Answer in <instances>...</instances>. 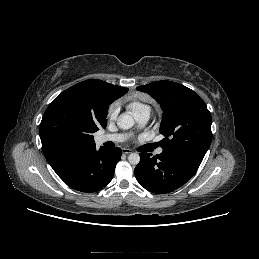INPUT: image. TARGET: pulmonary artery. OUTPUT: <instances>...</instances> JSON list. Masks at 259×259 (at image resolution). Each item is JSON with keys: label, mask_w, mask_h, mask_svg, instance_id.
<instances>
[{"label": "pulmonary artery", "mask_w": 259, "mask_h": 259, "mask_svg": "<svg viewBox=\"0 0 259 259\" xmlns=\"http://www.w3.org/2000/svg\"><path fill=\"white\" fill-rule=\"evenodd\" d=\"M134 117L137 120V122L140 125H144L147 123V121L150 118V109H142L136 113H134ZM128 138L127 134H106L102 135L99 137V142L100 143H105V142H123ZM162 149L159 148L156 151V154H161Z\"/></svg>", "instance_id": "e3ab8cb5"}]
</instances>
